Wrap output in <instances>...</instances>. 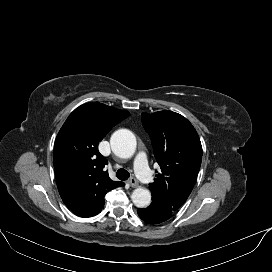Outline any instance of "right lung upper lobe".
<instances>
[{
    "label": "right lung upper lobe",
    "instance_id": "1",
    "mask_svg": "<svg viewBox=\"0 0 272 272\" xmlns=\"http://www.w3.org/2000/svg\"><path fill=\"white\" fill-rule=\"evenodd\" d=\"M128 116L125 110L99 102L87 103L69 115L56 137L54 170L58 190L65 205L80 217L98 214L105 194L124 185L109 178L104 169L107 160L97 145Z\"/></svg>",
    "mask_w": 272,
    "mask_h": 272
}]
</instances>
